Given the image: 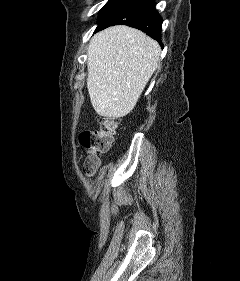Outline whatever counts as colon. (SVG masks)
I'll return each mask as SVG.
<instances>
[{
    "instance_id": "1",
    "label": "colon",
    "mask_w": 240,
    "mask_h": 281,
    "mask_svg": "<svg viewBox=\"0 0 240 281\" xmlns=\"http://www.w3.org/2000/svg\"><path fill=\"white\" fill-rule=\"evenodd\" d=\"M99 128L95 131H85L79 136V142L88 152L84 163V171L93 173L100 165V157L109 151L118 130V121L114 118L100 117Z\"/></svg>"
}]
</instances>
